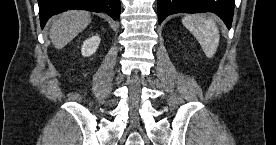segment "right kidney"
Here are the masks:
<instances>
[{"instance_id": "ca27d5eb", "label": "right kidney", "mask_w": 276, "mask_h": 145, "mask_svg": "<svg viewBox=\"0 0 276 145\" xmlns=\"http://www.w3.org/2000/svg\"><path fill=\"white\" fill-rule=\"evenodd\" d=\"M100 44V37L99 36H92L84 41L81 53L84 57L91 56L94 54Z\"/></svg>"}]
</instances>
